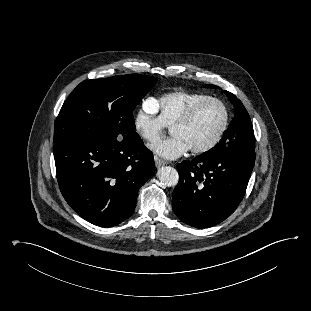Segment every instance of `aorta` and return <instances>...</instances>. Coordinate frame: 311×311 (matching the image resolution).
Masks as SVG:
<instances>
[{
  "instance_id": "obj_1",
  "label": "aorta",
  "mask_w": 311,
  "mask_h": 311,
  "mask_svg": "<svg viewBox=\"0 0 311 311\" xmlns=\"http://www.w3.org/2000/svg\"><path fill=\"white\" fill-rule=\"evenodd\" d=\"M157 176L160 182L167 187L176 186L179 180L177 170L170 166L161 167L157 171Z\"/></svg>"
}]
</instances>
